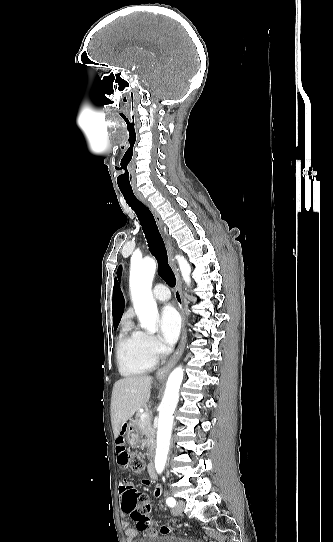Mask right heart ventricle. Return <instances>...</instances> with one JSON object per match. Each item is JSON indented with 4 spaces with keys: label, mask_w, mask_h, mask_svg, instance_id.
I'll return each instance as SVG.
<instances>
[{
    "label": "right heart ventricle",
    "mask_w": 333,
    "mask_h": 542,
    "mask_svg": "<svg viewBox=\"0 0 333 542\" xmlns=\"http://www.w3.org/2000/svg\"><path fill=\"white\" fill-rule=\"evenodd\" d=\"M119 367L125 375L150 371L157 363V356L145 344V336L136 329L124 330L117 342Z\"/></svg>",
    "instance_id": "e07e8e85"
}]
</instances>
